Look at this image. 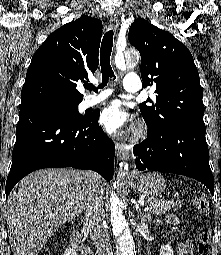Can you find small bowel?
<instances>
[{"label":"small bowel","instance_id":"obj_1","mask_svg":"<svg viewBox=\"0 0 221 255\" xmlns=\"http://www.w3.org/2000/svg\"><path fill=\"white\" fill-rule=\"evenodd\" d=\"M169 221L176 223L177 220L174 216H169ZM193 253V245L190 239H185L179 241L177 244V255H192Z\"/></svg>","mask_w":221,"mask_h":255}]
</instances>
